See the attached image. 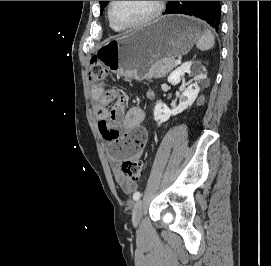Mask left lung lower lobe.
Listing matches in <instances>:
<instances>
[{
	"label": "left lung lower lobe",
	"mask_w": 271,
	"mask_h": 266,
	"mask_svg": "<svg viewBox=\"0 0 271 266\" xmlns=\"http://www.w3.org/2000/svg\"><path fill=\"white\" fill-rule=\"evenodd\" d=\"M186 14L206 21L216 31L221 17L220 1H170L163 14Z\"/></svg>",
	"instance_id": "0a47b994"
}]
</instances>
